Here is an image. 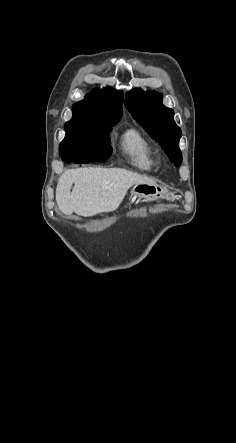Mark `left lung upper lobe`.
<instances>
[{"label":"left lung upper lobe","instance_id":"obj_1","mask_svg":"<svg viewBox=\"0 0 236 443\" xmlns=\"http://www.w3.org/2000/svg\"><path fill=\"white\" fill-rule=\"evenodd\" d=\"M125 106L145 131L160 143L175 166H180L182 132L173 120L174 111L162 104V95L156 91L133 89L126 94Z\"/></svg>","mask_w":236,"mask_h":443}]
</instances>
